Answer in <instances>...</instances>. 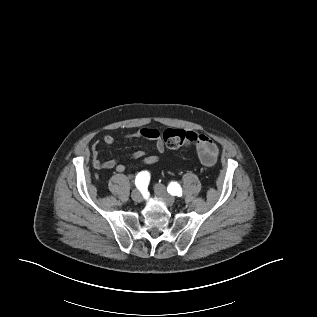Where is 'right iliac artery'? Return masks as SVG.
Masks as SVG:
<instances>
[{
  "mask_svg": "<svg viewBox=\"0 0 317 317\" xmlns=\"http://www.w3.org/2000/svg\"><path fill=\"white\" fill-rule=\"evenodd\" d=\"M149 181H150L149 172L142 171L136 176L135 185L139 190H141L148 186Z\"/></svg>",
  "mask_w": 317,
  "mask_h": 317,
  "instance_id": "1",
  "label": "right iliac artery"
}]
</instances>
